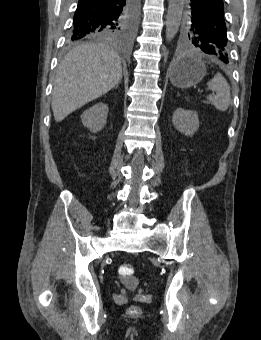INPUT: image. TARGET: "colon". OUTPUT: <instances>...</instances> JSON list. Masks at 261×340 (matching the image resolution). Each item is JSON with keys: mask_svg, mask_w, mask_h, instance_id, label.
I'll return each instance as SVG.
<instances>
[{"mask_svg": "<svg viewBox=\"0 0 261 340\" xmlns=\"http://www.w3.org/2000/svg\"><path fill=\"white\" fill-rule=\"evenodd\" d=\"M118 274L121 277L122 280L126 282H130L134 275V268L129 263H123L118 267ZM141 312V309L139 306L131 305L128 308L129 314H139Z\"/></svg>", "mask_w": 261, "mask_h": 340, "instance_id": "1", "label": "colon"}]
</instances>
